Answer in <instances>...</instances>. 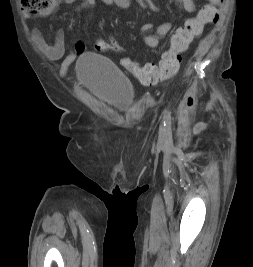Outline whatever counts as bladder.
I'll list each match as a JSON object with an SVG mask.
<instances>
[{
	"label": "bladder",
	"instance_id": "obj_1",
	"mask_svg": "<svg viewBox=\"0 0 253 267\" xmlns=\"http://www.w3.org/2000/svg\"><path fill=\"white\" fill-rule=\"evenodd\" d=\"M78 81L114 108L125 111L135 100L130 80L112 62L96 53L82 54L76 64Z\"/></svg>",
	"mask_w": 253,
	"mask_h": 267
}]
</instances>
